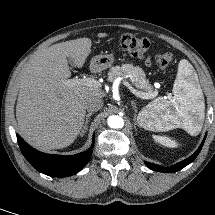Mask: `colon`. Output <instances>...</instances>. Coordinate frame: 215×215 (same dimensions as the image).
I'll use <instances>...</instances> for the list:
<instances>
[{"instance_id": "5ec220e1", "label": "colon", "mask_w": 215, "mask_h": 215, "mask_svg": "<svg viewBox=\"0 0 215 215\" xmlns=\"http://www.w3.org/2000/svg\"><path fill=\"white\" fill-rule=\"evenodd\" d=\"M120 47L131 57L141 58L149 49L150 42L146 38L124 34L119 38ZM173 60L169 52L159 54L157 63L161 68H167Z\"/></svg>"}]
</instances>
